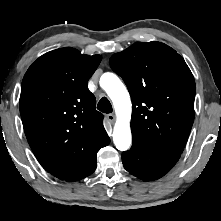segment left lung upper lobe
Wrapping results in <instances>:
<instances>
[{"mask_svg": "<svg viewBox=\"0 0 221 221\" xmlns=\"http://www.w3.org/2000/svg\"><path fill=\"white\" fill-rule=\"evenodd\" d=\"M112 70L132 99L133 140L181 155L194 121L195 81L184 59L160 42H137L114 54Z\"/></svg>", "mask_w": 221, "mask_h": 221, "instance_id": "left-lung-upper-lobe-1", "label": "left lung upper lobe"}]
</instances>
